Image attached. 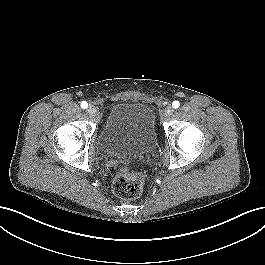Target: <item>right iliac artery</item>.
Instances as JSON below:
<instances>
[{
	"label": "right iliac artery",
	"mask_w": 265,
	"mask_h": 265,
	"mask_svg": "<svg viewBox=\"0 0 265 265\" xmlns=\"http://www.w3.org/2000/svg\"><path fill=\"white\" fill-rule=\"evenodd\" d=\"M81 107H82L83 109H86V108L88 107V103H87L86 101H82V102H81Z\"/></svg>",
	"instance_id": "82829eb1"
}]
</instances>
